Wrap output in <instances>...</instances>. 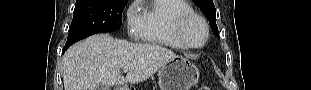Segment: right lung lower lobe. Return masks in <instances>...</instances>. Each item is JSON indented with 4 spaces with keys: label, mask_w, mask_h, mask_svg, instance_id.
I'll return each mask as SVG.
<instances>
[{
    "label": "right lung lower lobe",
    "mask_w": 311,
    "mask_h": 90,
    "mask_svg": "<svg viewBox=\"0 0 311 90\" xmlns=\"http://www.w3.org/2000/svg\"><path fill=\"white\" fill-rule=\"evenodd\" d=\"M70 45H65L63 52H65V50L69 47Z\"/></svg>",
    "instance_id": "98d812e1"
}]
</instances>
